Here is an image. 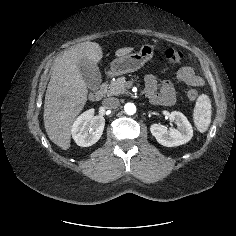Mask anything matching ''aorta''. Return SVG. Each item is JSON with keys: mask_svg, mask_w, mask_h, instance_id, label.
<instances>
[{"mask_svg": "<svg viewBox=\"0 0 236 236\" xmlns=\"http://www.w3.org/2000/svg\"><path fill=\"white\" fill-rule=\"evenodd\" d=\"M126 114L133 115L136 113V106L133 103H126L124 106Z\"/></svg>", "mask_w": 236, "mask_h": 236, "instance_id": "1", "label": "aorta"}]
</instances>
